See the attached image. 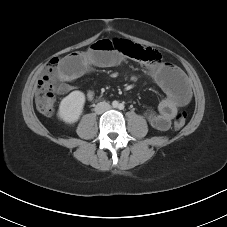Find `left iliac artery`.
I'll use <instances>...</instances> for the list:
<instances>
[{"label": "left iliac artery", "instance_id": "left-iliac-artery-1", "mask_svg": "<svg viewBox=\"0 0 227 227\" xmlns=\"http://www.w3.org/2000/svg\"><path fill=\"white\" fill-rule=\"evenodd\" d=\"M118 107H119L120 110H122V109H124V104H119Z\"/></svg>", "mask_w": 227, "mask_h": 227}]
</instances>
